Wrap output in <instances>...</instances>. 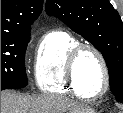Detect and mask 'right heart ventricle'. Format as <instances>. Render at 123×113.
I'll use <instances>...</instances> for the list:
<instances>
[{
  "label": "right heart ventricle",
  "instance_id": "e07e8e85",
  "mask_svg": "<svg viewBox=\"0 0 123 113\" xmlns=\"http://www.w3.org/2000/svg\"><path fill=\"white\" fill-rule=\"evenodd\" d=\"M78 44L70 33L59 29L42 37L34 61V79L41 91L81 96L71 86L66 73L67 58Z\"/></svg>",
  "mask_w": 123,
  "mask_h": 113
}]
</instances>
